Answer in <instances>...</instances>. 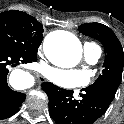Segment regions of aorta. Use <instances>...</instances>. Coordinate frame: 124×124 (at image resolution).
Returning <instances> with one entry per match:
<instances>
[{
  "label": "aorta",
  "instance_id": "762f6f07",
  "mask_svg": "<svg viewBox=\"0 0 124 124\" xmlns=\"http://www.w3.org/2000/svg\"><path fill=\"white\" fill-rule=\"evenodd\" d=\"M45 56L59 67H73L82 56L79 39L67 31H53L47 34L43 42Z\"/></svg>",
  "mask_w": 124,
  "mask_h": 124
}]
</instances>
